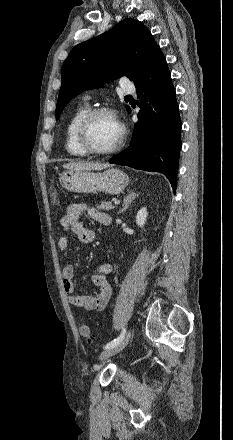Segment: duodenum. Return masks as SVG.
<instances>
[{
	"instance_id": "duodenum-1",
	"label": "duodenum",
	"mask_w": 233,
	"mask_h": 440,
	"mask_svg": "<svg viewBox=\"0 0 233 440\" xmlns=\"http://www.w3.org/2000/svg\"><path fill=\"white\" fill-rule=\"evenodd\" d=\"M103 224L104 225H110L111 224V219L110 218H108V219H105L104 221H103Z\"/></svg>"
}]
</instances>
